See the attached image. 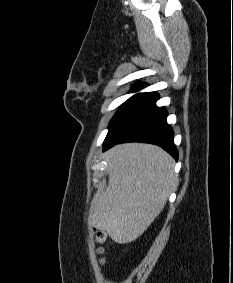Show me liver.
I'll return each mask as SVG.
<instances>
[{"instance_id":"6515ba94","label":"liver","mask_w":233,"mask_h":283,"mask_svg":"<svg viewBox=\"0 0 233 283\" xmlns=\"http://www.w3.org/2000/svg\"><path fill=\"white\" fill-rule=\"evenodd\" d=\"M109 183L93 198L89 222L118 244L140 237L177 183L173 158L152 144H119L106 152Z\"/></svg>"}]
</instances>
